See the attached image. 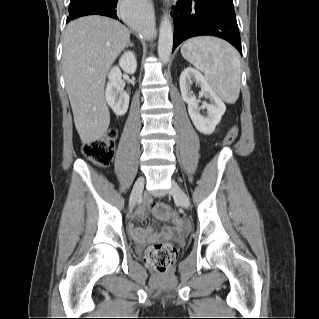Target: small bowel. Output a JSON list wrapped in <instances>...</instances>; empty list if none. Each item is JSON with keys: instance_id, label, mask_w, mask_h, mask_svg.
I'll return each instance as SVG.
<instances>
[{"instance_id": "1", "label": "small bowel", "mask_w": 319, "mask_h": 319, "mask_svg": "<svg viewBox=\"0 0 319 319\" xmlns=\"http://www.w3.org/2000/svg\"><path fill=\"white\" fill-rule=\"evenodd\" d=\"M150 204H151L150 197H144L142 199L141 207L137 210L135 214L136 220H140L147 215ZM173 224L176 230H170V229L164 230L162 231L161 236L173 237L177 235L178 233H183L187 231L189 228L188 222L180 217H176L175 219H173ZM129 233L133 238L141 242L150 241L156 237V230L151 225L147 226L146 228H137V227L130 226Z\"/></svg>"}]
</instances>
